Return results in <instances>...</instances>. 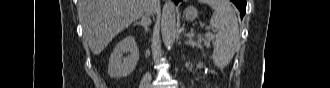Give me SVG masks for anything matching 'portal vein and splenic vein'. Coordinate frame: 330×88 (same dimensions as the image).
Wrapping results in <instances>:
<instances>
[{
	"label": "portal vein and splenic vein",
	"instance_id": "1",
	"mask_svg": "<svg viewBox=\"0 0 330 88\" xmlns=\"http://www.w3.org/2000/svg\"><path fill=\"white\" fill-rule=\"evenodd\" d=\"M216 31V30H215ZM187 37L191 38L193 36V33H189L186 35Z\"/></svg>",
	"mask_w": 330,
	"mask_h": 88
}]
</instances>
